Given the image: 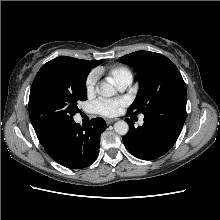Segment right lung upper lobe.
<instances>
[{"label":"right lung upper lobe","mask_w":220,"mask_h":220,"mask_svg":"<svg viewBox=\"0 0 220 220\" xmlns=\"http://www.w3.org/2000/svg\"><path fill=\"white\" fill-rule=\"evenodd\" d=\"M49 62H58V63H65V64H71V65H76L80 67H84L87 69H92L95 66L99 65L101 60H94V61H86V60H80L72 57H67V56H61L57 57Z\"/></svg>","instance_id":"right-lung-upper-lobe-1"}]
</instances>
